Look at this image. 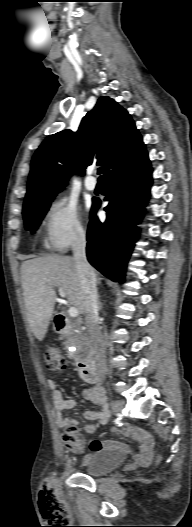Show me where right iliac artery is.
<instances>
[{
  "label": "right iliac artery",
  "mask_w": 192,
  "mask_h": 527,
  "mask_svg": "<svg viewBox=\"0 0 192 527\" xmlns=\"http://www.w3.org/2000/svg\"><path fill=\"white\" fill-rule=\"evenodd\" d=\"M114 423H115V427L117 429H120L122 427V424H121V420H116V418H114Z\"/></svg>",
  "instance_id": "82829eb1"
}]
</instances>
